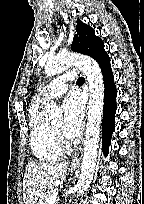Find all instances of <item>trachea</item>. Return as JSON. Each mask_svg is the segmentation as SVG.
<instances>
[{
	"instance_id": "trachea-1",
	"label": "trachea",
	"mask_w": 144,
	"mask_h": 204,
	"mask_svg": "<svg viewBox=\"0 0 144 204\" xmlns=\"http://www.w3.org/2000/svg\"><path fill=\"white\" fill-rule=\"evenodd\" d=\"M82 78H79L78 80H77V83H82Z\"/></svg>"
}]
</instances>
